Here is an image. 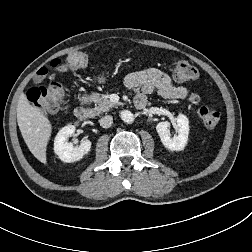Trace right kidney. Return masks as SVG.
Masks as SVG:
<instances>
[{
  "label": "right kidney",
  "instance_id": "1",
  "mask_svg": "<svg viewBox=\"0 0 252 252\" xmlns=\"http://www.w3.org/2000/svg\"><path fill=\"white\" fill-rule=\"evenodd\" d=\"M75 132L74 125H67L63 127L55 137L54 152L63 161L67 163L76 162L88 154L91 149V141L83 139L79 146L74 147L68 138Z\"/></svg>",
  "mask_w": 252,
  "mask_h": 252
}]
</instances>
